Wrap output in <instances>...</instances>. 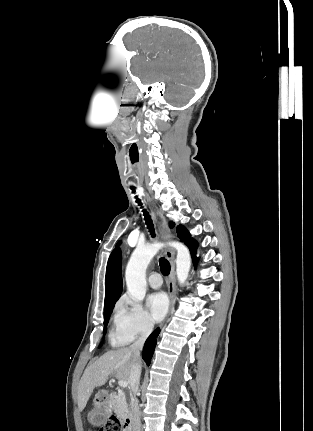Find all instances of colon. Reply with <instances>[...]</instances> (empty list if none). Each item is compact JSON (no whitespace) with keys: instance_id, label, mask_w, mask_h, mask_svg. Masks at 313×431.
Returning a JSON list of instances; mask_svg holds the SVG:
<instances>
[{"instance_id":"1","label":"colon","mask_w":313,"mask_h":431,"mask_svg":"<svg viewBox=\"0 0 313 431\" xmlns=\"http://www.w3.org/2000/svg\"><path fill=\"white\" fill-rule=\"evenodd\" d=\"M100 431H123V427L120 420L112 416L100 428Z\"/></svg>"}]
</instances>
